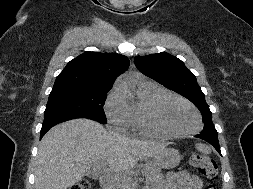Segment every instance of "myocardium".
Instances as JSON below:
<instances>
[{
    "label": "myocardium",
    "mask_w": 253,
    "mask_h": 189,
    "mask_svg": "<svg viewBox=\"0 0 253 189\" xmlns=\"http://www.w3.org/2000/svg\"><path fill=\"white\" fill-rule=\"evenodd\" d=\"M166 98L175 99L177 101L184 103L189 108H191L196 115L197 126L194 129L186 131V132H174L167 129L160 122L158 118L159 106L162 103V101ZM145 124L148 130L152 132L154 135H158V136H162L166 138H182V137H187L199 132L202 127V118L198 109L190 101H188L187 99L175 93L164 92L158 95L156 98H154L152 102L149 104V106L147 107L146 114H145Z\"/></svg>",
    "instance_id": "f54148a6"
}]
</instances>
